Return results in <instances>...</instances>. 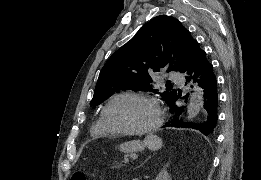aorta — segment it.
Masks as SVG:
<instances>
[{
  "mask_svg": "<svg viewBox=\"0 0 261 180\" xmlns=\"http://www.w3.org/2000/svg\"><path fill=\"white\" fill-rule=\"evenodd\" d=\"M203 90L199 86L194 87V91L190 96L187 106V119L193 120L201 111L203 107Z\"/></svg>",
  "mask_w": 261,
  "mask_h": 180,
  "instance_id": "aorta-1",
  "label": "aorta"
}]
</instances>
